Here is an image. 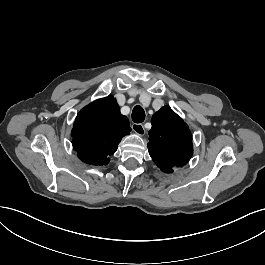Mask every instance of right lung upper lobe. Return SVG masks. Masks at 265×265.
Returning <instances> with one entry per match:
<instances>
[{
    "instance_id": "cb5924a9",
    "label": "right lung upper lobe",
    "mask_w": 265,
    "mask_h": 265,
    "mask_svg": "<svg viewBox=\"0 0 265 265\" xmlns=\"http://www.w3.org/2000/svg\"><path fill=\"white\" fill-rule=\"evenodd\" d=\"M130 131L128 118L120 113L116 99L109 95L78 113L71 132L72 145L81 161L102 166L109 163L121 139Z\"/></svg>"
}]
</instances>
